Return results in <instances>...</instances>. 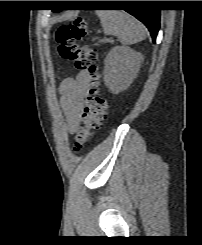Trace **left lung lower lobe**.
Here are the masks:
<instances>
[{"label": "left lung lower lobe", "mask_w": 202, "mask_h": 245, "mask_svg": "<svg viewBox=\"0 0 202 245\" xmlns=\"http://www.w3.org/2000/svg\"><path fill=\"white\" fill-rule=\"evenodd\" d=\"M132 5L143 6L146 3L144 1H130ZM61 10H53V12H59ZM138 20H140L150 31L153 42L156 41V36L160 27V10L148 9V8H132L125 10Z\"/></svg>", "instance_id": "1"}]
</instances>
